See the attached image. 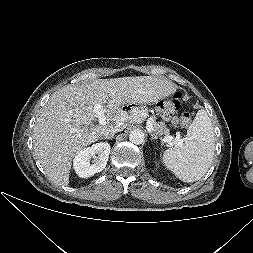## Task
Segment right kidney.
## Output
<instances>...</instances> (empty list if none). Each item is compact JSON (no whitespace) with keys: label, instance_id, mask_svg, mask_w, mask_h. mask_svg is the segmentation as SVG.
I'll return each mask as SVG.
<instances>
[{"label":"right kidney","instance_id":"right-kidney-1","mask_svg":"<svg viewBox=\"0 0 253 253\" xmlns=\"http://www.w3.org/2000/svg\"><path fill=\"white\" fill-rule=\"evenodd\" d=\"M110 153V144L100 142L91 147L82 149L73 160V167L79 177H91L101 172L107 164ZM97 155V156H96ZM96 158L91 164V158Z\"/></svg>","mask_w":253,"mask_h":253}]
</instances>
